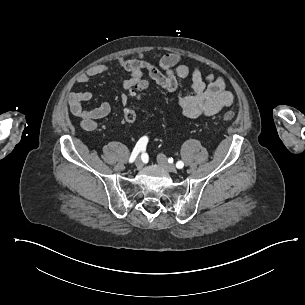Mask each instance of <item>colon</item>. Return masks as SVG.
<instances>
[{
    "label": "colon",
    "mask_w": 305,
    "mask_h": 305,
    "mask_svg": "<svg viewBox=\"0 0 305 305\" xmlns=\"http://www.w3.org/2000/svg\"><path fill=\"white\" fill-rule=\"evenodd\" d=\"M148 86L147 81L142 80L137 83V85H134L131 87L130 92L132 95L137 96L140 94V92H143L146 90ZM130 101H133V98H130ZM130 108H133V105H130ZM235 116V113L233 111H227L224 112L222 115V118L224 120H230ZM136 120V113L132 110H129L125 115H124V121L126 123H133Z\"/></svg>",
    "instance_id": "5ec220e1"
}]
</instances>
